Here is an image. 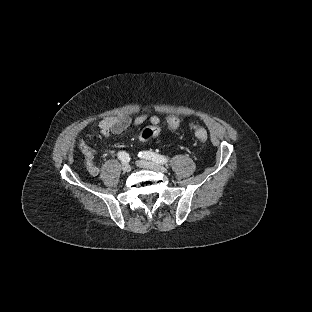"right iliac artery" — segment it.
I'll use <instances>...</instances> for the list:
<instances>
[{
  "mask_svg": "<svg viewBox=\"0 0 312 312\" xmlns=\"http://www.w3.org/2000/svg\"><path fill=\"white\" fill-rule=\"evenodd\" d=\"M118 158L125 163H128L130 161V156L128 153H126L125 151H120L118 153Z\"/></svg>",
  "mask_w": 312,
  "mask_h": 312,
  "instance_id": "1",
  "label": "right iliac artery"
}]
</instances>
